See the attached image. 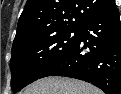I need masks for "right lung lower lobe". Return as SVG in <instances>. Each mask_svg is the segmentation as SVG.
<instances>
[{
    "label": "right lung lower lobe",
    "instance_id": "98d812e1",
    "mask_svg": "<svg viewBox=\"0 0 121 94\" xmlns=\"http://www.w3.org/2000/svg\"><path fill=\"white\" fill-rule=\"evenodd\" d=\"M47 76L72 77L106 94H121V22L116 4L80 25L74 47L40 78Z\"/></svg>",
    "mask_w": 121,
    "mask_h": 94
}]
</instances>
